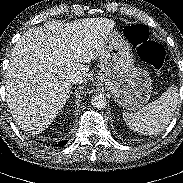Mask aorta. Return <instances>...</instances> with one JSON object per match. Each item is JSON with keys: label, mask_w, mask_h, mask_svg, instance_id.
I'll return each instance as SVG.
<instances>
[{"label": "aorta", "mask_w": 183, "mask_h": 183, "mask_svg": "<svg viewBox=\"0 0 183 183\" xmlns=\"http://www.w3.org/2000/svg\"><path fill=\"white\" fill-rule=\"evenodd\" d=\"M107 100L103 94H96L91 99V104L96 109H102L106 106Z\"/></svg>", "instance_id": "aorta-1"}]
</instances>
